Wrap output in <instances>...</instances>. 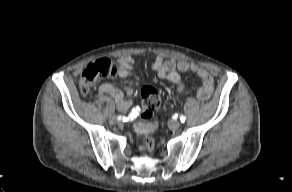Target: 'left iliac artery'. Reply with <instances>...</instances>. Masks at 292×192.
I'll return each mask as SVG.
<instances>
[{
    "label": "left iliac artery",
    "instance_id": "left-iliac-artery-1",
    "mask_svg": "<svg viewBox=\"0 0 292 192\" xmlns=\"http://www.w3.org/2000/svg\"><path fill=\"white\" fill-rule=\"evenodd\" d=\"M180 121H181L182 123H184V122L186 121V117H185L184 115H181V116H180Z\"/></svg>",
    "mask_w": 292,
    "mask_h": 192
}]
</instances>
